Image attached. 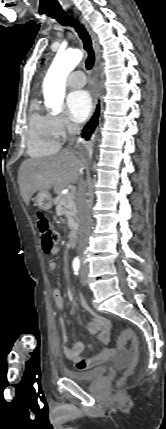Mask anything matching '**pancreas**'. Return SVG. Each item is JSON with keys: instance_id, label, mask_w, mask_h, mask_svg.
<instances>
[{"instance_id": "1", "label": "pancreas", "mask_w": 166, "mask_h": 429, "mask_svg": "<svg viewBox=\"0 0 166 429\" xmlns=\"http://www.w3.org/2000/svg\"><path fill=\"white\" fill-rule=\"evenodd\" d=\"M56 213L59 216H65L71 231L76 230L78 225L76 204L73 200L67 198V195L57 200Z\"/></svg>"}]
</instances>
